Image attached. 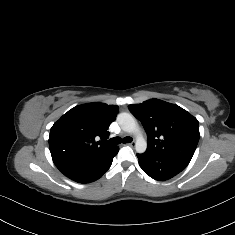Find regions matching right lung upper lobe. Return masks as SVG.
I'll use <instances>...</instances> for the list:
<instances>
[{
    "label": "right lung upper lobe",
    "instance_id": "1",
    "mask_svg": "<svg viewBox=\"0 0 235 235\" xmlns=\"http://www.w3.org/2000/svg\"><path fill=\"white\" fill-rule=\"evenodd\" d=\"M118 106L87 103L65 113L51 128L49 147L52 156L100 155L116 146L98 141L109 137L108 127L115 120Z\"/></svg>",
    "mask_w": 235,
    "mask_h": 235
}]
</instances>
